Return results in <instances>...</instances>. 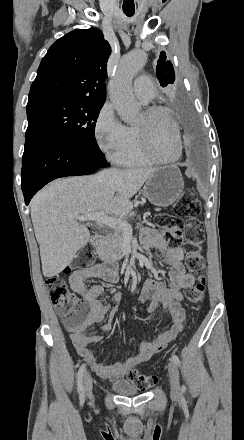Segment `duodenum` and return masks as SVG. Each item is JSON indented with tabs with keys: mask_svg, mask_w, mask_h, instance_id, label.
Segmentation results:
<instances>
[{
	"mask_svg": "<svg viewBox=\"0 0 244 440\" xmlns=\"http://www.w3.org/2000/svg\"><path fill=\"white\" fill-rule=\"evenodd\" d=\"M92 245L97 249H102L104 247V238L101 234H96L92 237Z\"/></svg>",
	"mask_w": 244,
	"mask_h": 440,
	"instance_id": "obj_1",
	"label": "duodenum"
}]
</instances>
